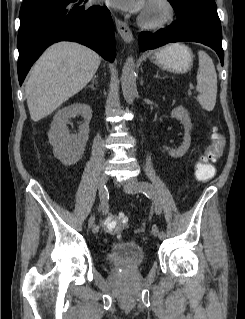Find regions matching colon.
Masks as SVG:
<instances>
[{
  "label": "colon",
  "instance_id": "colon-1",
  "mask_svg": "<svg viewBox=\"0 0 245 319\" xmlns=\"http://www.w3.org/2000/svg\"><path fill=\"white\" fill-rule=\"evenodd\" d=\"M224 150V138L214 128L211 134V141L205 153H203L195 166V177L199 181L210 180L216 172L214 163L219 160ZM128 217L124 213L110 215L104 222V228L113 235H119L126 224Z\"/></svg>",
  "mask_w": 245,
  "mask_h": 319
}]
</instances>
